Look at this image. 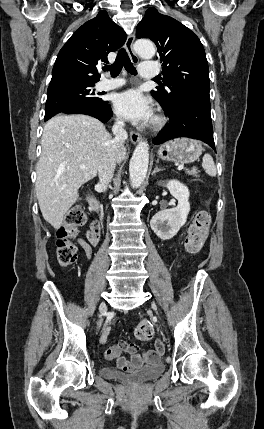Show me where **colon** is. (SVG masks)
Returning <instances> with one entry per match:
<instances>
[{
    "mask_svg": "<svg viewBox=\"0 0 264 429\" xmlns=\"http://www.w3.org/2000/svg\"><path fill=\"white\" fill-rule=\"evenodd\" d=\"M211 217L208 211L197 212L191 222L185 238V249L190 254L198 253L207 238L208 227ZM86 223V216L80 207H74L67 212L62 226L57 230V259L62 267L73 265L77 259V247L73 243L78 230ZM154 335V329L150 322L141 321L135 328V336L141 341H147ZM157 347L161 349L163 344L157 342Z\"/></svg>",
    "mask_w": 264,
    "mask_h": 429,
    "instance_id": "5ec220e1",
    "label": "colon"
}]
</instances>
